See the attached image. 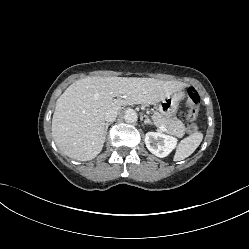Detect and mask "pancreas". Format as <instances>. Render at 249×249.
Instances as JSON below:
<instances>
[{
  "label": "pancreas",
  "mask_w": 249,
  "mask_h": 249,
  "mask_svg": "<svg viewBox=\"0 0 249 249\" xmlns=\"http://www.w3.org/2000/svg\"><path fill=\"white\" fill-rule=\"evenodd\" d=\"M152 120L156 125H161L166 128V133L182 138L185 134V126L182 121L176 118L168 119L158 112H154Z\"/></svg>",
  "instance_id": "obj_1"
}]
</instances>
